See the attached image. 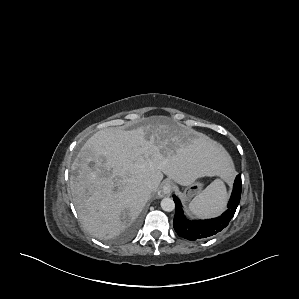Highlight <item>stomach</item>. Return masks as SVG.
Returning a JSON list of instances; mask_svg holds the SVG:
<instances>
[{
  "instance_id": "obj_1",
  "label": "stomach",
  "mask_w": 299,
  "mask_h": 299,
  "mask_svg": "<svg viewBox=\"0 0 299 299\" xmlns=\"http://www.w3.org/2000/svg\"><path fill=\"white\" fill-rule=\"evenodd\" d=\"M202 184L195 180L190 185H187L184 192L182 193V197L184 201H189L193 196L198 195L200 193Z\"/></svg>"
}]
</instances>
